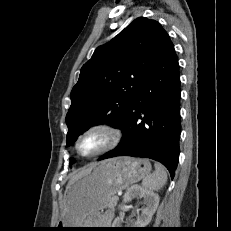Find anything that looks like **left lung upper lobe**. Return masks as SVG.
<instances>
[{"instance_id": "1", "label": "left lung upper lobe", "mask_w": 231, "mask_h": 231, "mask_svg": "<svg viewBox=\"0 0 231 231\" xmlns=\"http://www.w3.org/2000/svg\"><path fill=\"white\" fill-rule=\"evenodd\" d=\"M167 36L160 23L139 17L96 48L71 91L72 103L66 115L67 145L93 125L119 127Z\"/></svg>"}]
</instances>
